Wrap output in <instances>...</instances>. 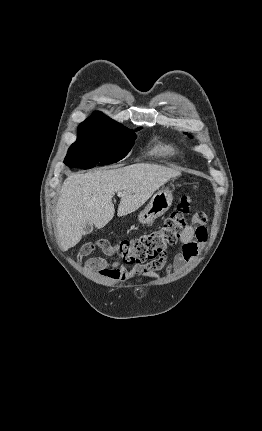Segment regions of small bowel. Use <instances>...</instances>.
<instances>
[{
  "instance_id": "1",
  "label": "small bowel",
  "mask_w": 262,
  "mask_h": 431,
  "mask_svg": "<svg viewBox=\"0 0 262 431\" xmlns=\"http://www.w3.org/2000/svg\"><path fill=\"white\" fill-rule=\"evenodd\" d=\"M207 238V227L199 221L197 216H194L179 238V252L168 266L167 273L170 274L175 268L182 269L186 264L192 262L198 255L200 247L207 241ZM167 264L168 259L166 256L159 257L146 264H136L130 268L111 264L100 257H93L88 262V265L98 273L122 283L138 276L151 278L156 271Z\"/></svg>"
}]
</instances>
